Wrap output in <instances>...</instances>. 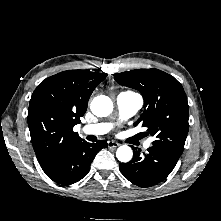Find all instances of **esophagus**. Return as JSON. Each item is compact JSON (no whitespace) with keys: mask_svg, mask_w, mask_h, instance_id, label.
I'll list each match as a JSON object with an SVG mask.
<instances>
[{"mask_svg":"<svg viewBox=\"0 0 221 221\" xmlns=\"http://www.w3.org/2000/svg\"><path fill=\"white\" fill-rule=\"evenodd\" d=\"M107 146H108L109 149H114V148L119 146V143L114 142V141H108Z\"/></svg>","mask_w":221,"mask_h":221,"instance_id":"1","label":"esophagus"}]
</instances>
